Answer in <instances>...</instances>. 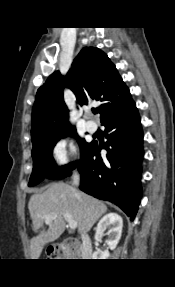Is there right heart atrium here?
Listing matches in <instances>:
<instances>
[{
	"label": "right heart atrium",
	"instance_id": "obj_1",
	"mask_svg": "<svg viewBox=\"0 0 175 287\" xmlns=\"http://www.w3.org/2000/svg\"><path fill=\"white\" fill-rule=\"evenodd\" d=\"M77 156V148L69 137H61L55 141L51 148V158L58 166L67 165Z\"/></svg>",
	"mask_w": 175,
	"mask_h": 287
}]
</instances>
